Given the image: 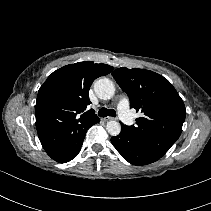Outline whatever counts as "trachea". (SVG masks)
Returning <instances> with one entry per match:
<instances>
[{
	"instance_id": "3493384b",
	"label": "trachea",
	"mask_w": 211,
	"mask_h": 211,
	"mask_svg": "<svg viewBox=\"0 0 211 211\" xmlns=\"http://www.w3.org/2000/svg\"><path fill=\"white\" fill-rule=\"evenodd\" d=\"M98 115L100 117H106V116L116 117V111L114 109L101 108L98 112Z\"/></svg>"
}]
</instances>
